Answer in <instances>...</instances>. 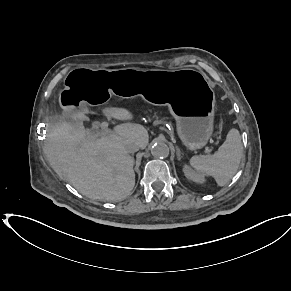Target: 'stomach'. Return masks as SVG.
<instances>
[{"mask_svg":"<svg viewBox=\"0 0 291 291\" xmlns=\"http://www.w3.org/2000/svg\"><path fill=\"white\" fill-rule=\"evenodd\" d=\"M59 95L65 111H83L87 104L106 102L110 95L142 96L169 106L177 133L189 149L205 146L214 129L215 95L206 76L194 69H75Z\"/></svg>","mask_w":291,"mask_h":291,"instance_id":"0dacf381","label":"stomach"}]
</instances>
